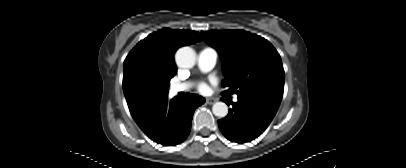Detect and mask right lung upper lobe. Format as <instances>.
<instances>
[{
  "label": "right lung upper lobe",
  "mask_w": 406,
  "mask_h": 168,
  "mask_svg": "<svg viewBox=\"0 0 406 168\" xmlns=\"http://www.w3.org/2000/svg\"><path fill=\"white\" fill-rule=\"evenodd\" d=\"M196 31L164 28L141 40L124 61L123 90L132 115L145 107L139 94L143 81H170L176 74L174 53L201 40Z\"/></svg>",
  "instance_id": "right-lung-upper-lobe-1"
}]
</instances>
